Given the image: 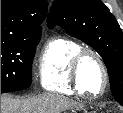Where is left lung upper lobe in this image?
I'll return each mask as SVG.
<instances>
[{"instance_id":"1","label":"left lung upper lobe","mask_w":123,"mask_h":113,"mask_svg":"<svg viewBox=\"0 0 123 113\" xmlns=\"http://www.w3.org/2000/svg\"><path fill=\"white\" fill-rule=\"evenodd\" d=\"M47 23L50 28L58 24L103 57L114 98L123 106V34L102 1L56 0Z\"/></svg>"}]
</instances>
